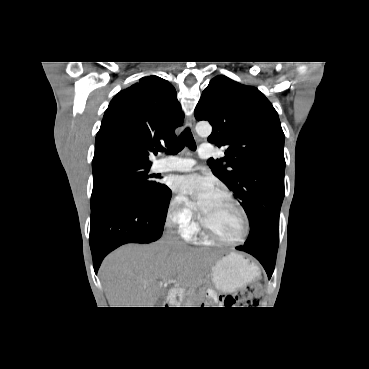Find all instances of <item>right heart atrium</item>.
Instances as JSON below:
<instances>
[{
  "mask_svg": "<svg viewBox=\"0 0 369 369\" xmlns=\"http://www.w3.org/2000/svg\"><path fill=\"white\" fill-rule=\"evenodd\" d=\"M168 217L185 235L195 228V214L180 196H173L168 204Z\"/></svg>",
  "mask_w": 369,
  "mask_h": 369,
  "instance_id": "d8ad5b80",
  "label": "right heart atrium"
}]
</instances>
